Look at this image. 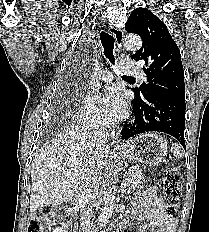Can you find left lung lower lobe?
Masks as SVG:
<instances>
[{
  "mask_svg": "<svg viewBox=\"0 0 209 232\" xmlns=\"http://www.w3.org/2000/svg\"><path fill=\"white\" fill-rule=\"evenodd\" d=\"M133 123L124 125L122 138L159 131L175 137L185 148V99L168 96L152 97L143 102H132Z\"/></svg>",
  "mask_w": 209,
  "mask_h": 232,
  "instance_id": "obj_1",
  "label": "left lung lower lobe"
}]
</instances>
